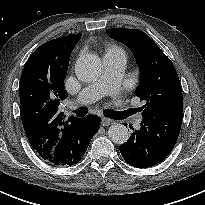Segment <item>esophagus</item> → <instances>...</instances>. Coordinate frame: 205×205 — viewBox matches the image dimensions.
I'll return each mask as SVG.
<instances>
[{
    "instance_id": "1",
    "label": "esophagus",
    "mask_w": 205,
    "mask_h": 205,
    "mask_svg": "<svg viewBox=\"0 0 205 205\" xmlns=\"http://www.w3.org/2000/svg\"><path fill=\"white\" fill-rule=\"evenodd\" d=\"M110 124H113V121L111 119H108V118H105V117L101 118V125L102 126H108Z\"/></svg>"
}]
</instances>
